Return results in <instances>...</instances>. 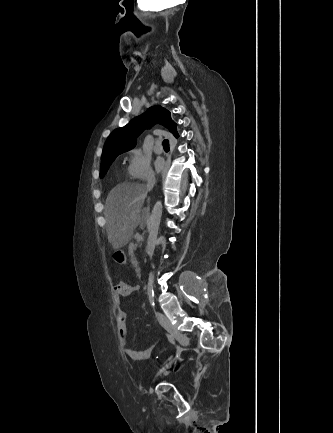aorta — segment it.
<instances>
[{"mask_svg": "<svg viewBox=\"0 0 333 433\" xmlns=\"http://www.w3.org/2000/svg\"><path fill=\"white\" fill-rule=\"evenodd\" d=\"M162 202L157 201L154 204L152 214L150 216V219L147 223L148 228V239H147V245H146V253L148 256H152L154 254L155 246L157 244V238H158V231H159V225L161 221L162 216Z\"/></svg>", "mask_w": 333, "mask_h": 433, "instance_id": "aorta-1", "label": "aorta"}]
</instances>
